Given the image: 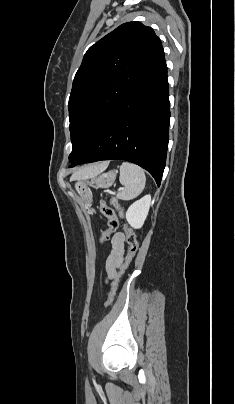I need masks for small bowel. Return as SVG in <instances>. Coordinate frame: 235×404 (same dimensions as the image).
<instances>
[{"mask_svg":"<svg viewBox=\"0 0 235 404\" xmlns=\"http://www.w3.org/2000/svg\"><path fill=\"white\" fill-rule=\"evenodd\" d=\"M125 259V236L117 232L111 240V251L105 261L106 279L111 280Z\"/></svg>","mask_w":235,"mask_h":404,"instance_id":"obj_1","label":"small bowel"}]
</instances>
